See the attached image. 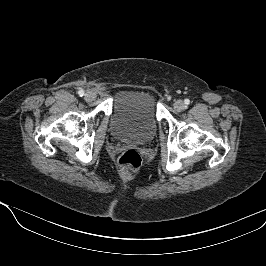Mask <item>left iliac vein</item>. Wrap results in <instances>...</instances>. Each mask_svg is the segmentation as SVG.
I'll return each mask as SVG.
<instances>
[{"instance_id":"obj_1","label":"left iliac vein","mask_w":266,"mask_h":266,"mask_svg":"<svg viewBox=\"0 0 266 266\" xmlns=\"http://www.w3.org/2000/svg\"><path fill=\"white\" fill-rule=\"evenodd\" d=\"M185 105L184 102L182 100H177L174 103V109L178 112L182 111L184 109Z\"/></svg>"}]
</instances>
